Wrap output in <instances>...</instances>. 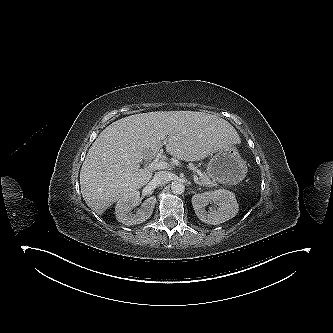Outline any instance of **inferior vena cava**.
<instances>
[{"label": "inferior vena cava", "mask_w": 333, "mask_h": 333, "mask_svg": "<svg viewBox=\"0 0 333 333\" xmlns=\"http://www.w3.org/2000/svg\"><path fill=\"white\" fill-rule=\"evenodd\" d=\"M172 180V174L167 171H159L155 173L153 177V183L155 185H164L167 184L169 181Z\"/></svg>", "instance_id": "inferior-vena-cava-1"}]
</instances>
